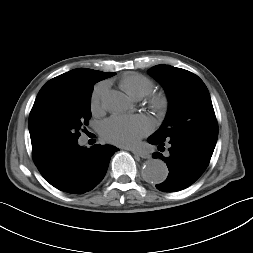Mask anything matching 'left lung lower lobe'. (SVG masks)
Segmentation results:
<instances>
[{"mask_svg": "<svg viewBox=\"0 0 253 253\" xmlns=\"http://www.w3.org/2000/svg\"><path fill=\"white\" fill-rule=\"evenodd\" d=\"M169 142L168 157L160 152L153 153L154 158L162 159L169 169L167 179L157 184V189L164 192H175L193 184L207 168L217 140L203 137L199 134H186L166 140ZM148 142L164 149L165 140L153 137Z\"/></svg>", "mask_w": 253, "mask_h": 253, "instance_id": "0a47b994", "label": "left lung lower lobe"}]
</instances>
